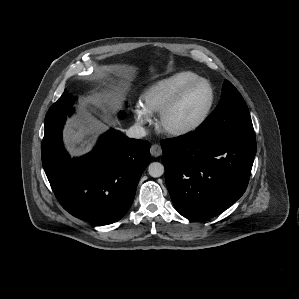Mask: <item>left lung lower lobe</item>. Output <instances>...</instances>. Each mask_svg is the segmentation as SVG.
Returning a JSON list of instances; mask_svg holds the SVG:
<instances>
[{
	"label": "left lung lower lobe",
	"mask_w": 299,
	"mask_h": 299,
	"mask_svg": "<svg viewBox=\"0 0 299 299\" xmlns=\"http://www.w3.org/2000/svg\"><path fill=\"white\" fill-rule=\"evenodd\" d=\"M165 180L176 210L192 220L215 217L245 192L254 157V133L194 131L161 141Z\"/></svg>",
	"instance_id": "1"
}]
</instances>
